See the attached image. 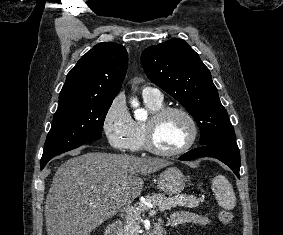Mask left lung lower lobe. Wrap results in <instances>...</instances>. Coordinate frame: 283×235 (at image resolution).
Here are the masks:
<instances>
[{
  "label": "left lung lower lobe",
  "mask_w": 283,
  "mask_h": 235,
  "mask_svg": "<svg viewBox=\"0 0 283 235\" xmlns=\"http://www.w3.org/2000/svg\"><path fill=\"white\" fill-rule=\"evenodd\" d=\"M202 156H210L222 161L229 166L239 178L240 152L236 142L205 145L185 153L179 160L189 161Z\"/></svg>",
  "instance_id": "1"
}]
</instances>
